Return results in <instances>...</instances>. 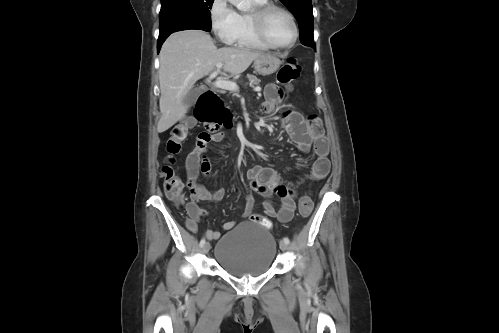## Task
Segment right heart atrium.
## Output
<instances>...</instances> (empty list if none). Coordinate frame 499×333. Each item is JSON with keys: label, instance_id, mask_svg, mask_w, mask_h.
<instances>
[{"label": "right heart atrium", "instance_id": "1", "mask_svg": "<svg viewBox=\"0 0 499 333\" xmlns=\"http://www.w3.org/2000/svg\"><path fill=\"white\" fill-rule=\"evenodd\" d=\"M210 27L216 38L232 44L238 28V13L228 0H212L209 8Z\"/></svg>", "mask_w": 499, "mask_h": 333}]
</instances>
